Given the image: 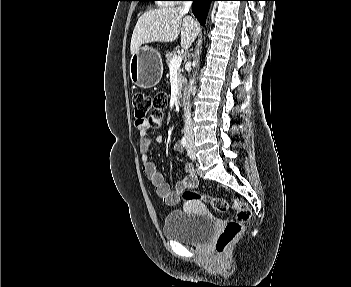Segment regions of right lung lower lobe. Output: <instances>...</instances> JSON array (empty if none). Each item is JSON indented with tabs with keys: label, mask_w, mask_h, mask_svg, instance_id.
<instances>
[{
	"label": "right lung lower lobe",
	"mask_w": 351,
	"mask_h": 287,
	"mask_svg": "<svg viewBox=\"0 0 351 287\" xmlns=\"http://www.w3.org/2000/svg\"><path fill=\"white\" fill-rule=\"evenodd\" d=\"M192 1H193V4H192L193 14L198 19V21L202 25H204L210 2L214 0H192Z\"/></svg>",
	"instance_id": "1"
}]
</instances>
